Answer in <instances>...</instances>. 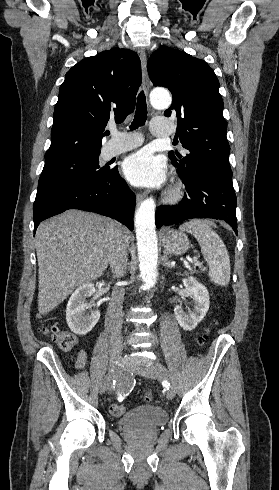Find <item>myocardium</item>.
Instances as JSON below:
<instances>
[{"label": "myocardium", "mask_w": 279, "mask_h": 490, "mask_svg": "<svg viewBox=\"0 0 279 490\" xmlns=\"http://www.w3.org/2000/svg\"><path fill=\"white\" fill-rule=\"evenodd\" d=\"M182 197V190L179 186H173L166 195V200L169 202H175Z\"/></svg>", "instance_id": "obj_1"}]
</instances>
